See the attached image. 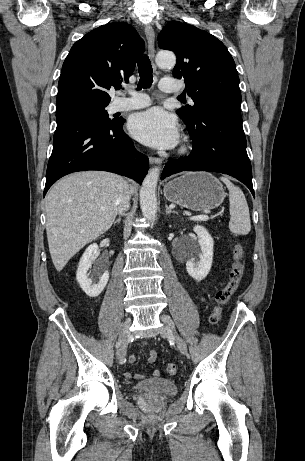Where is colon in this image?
I'll return each instance as SVG.
<instances>
[{"mask_svg": "<svg viewBox=\"0 0 305 461\" xmlns=\"http://www.w3.org/2000/svg\"><path fill=\"white\" fill-rule=\"evenodd\" d=\"M233 253L234 264L229 280L216 294V306L210 315V323L213 325L220 322L223 306L228 303L232 295L236 292L244 275V249L240 243L235 245ZM165 369L169 375H175L177 372V366L174 363H168Z\"/></svg>", "mask_w": 305, "mask_h": 461, "instance_id": "5ec220e1", "label": "colon"}]
</instances>
